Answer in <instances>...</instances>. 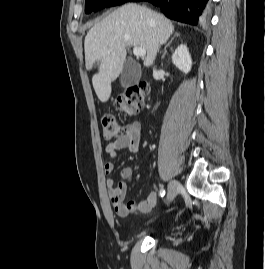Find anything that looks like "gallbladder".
I'll use <instances>...</instances> for the list:
<instances>
[{"label": "gallbladder", "instance_id": "1", "mask_svg": "<svg viewBox=\"0 0 265 269\" xmlns=\"http://www.w3.org/2000/svg\"><path fill=\"white\" fill-rule=\"evenodd\" d=\"M140 78V68L133 61L128 60L124 63L123 70L121 72V86L124 88H128L134 85L138 79Z\"/></svg>", "mask_w": 265, "mask_h": 269}]
</instances>
